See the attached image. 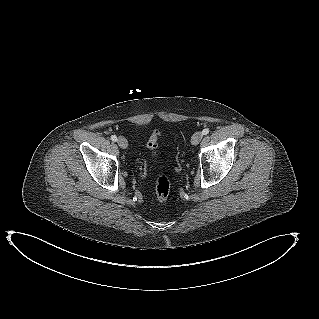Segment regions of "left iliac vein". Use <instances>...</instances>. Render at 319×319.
<instances>
[{
    "label": "left iliac vein",
    "instance_id": "left-iliac-vein-1",
    "mask_svg": "<svg viewBox=\"0 0 319 319\" xmlns=\"http://www.w3.org/2000/svg\"><path fill=\"white\" fill-rule=\"evenodd\" d=\"M202 137L203 135L201 132H195L191 138V143L193 145H197L201 141Z\"/></svg>",
    "mask_w": 319,
    "mask_h": 319
}]
</instances>
